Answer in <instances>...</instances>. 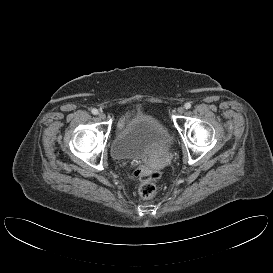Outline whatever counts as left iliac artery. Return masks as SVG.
Masks as SVG:
<instances>
[{"instance_id":"left-iliac-artery-1","label":"left iliac artery","mask_w":273,"mask_h":273,"mask_svg":"<svg viewBox=\"0 0 273 273\" xmlns=\"http://www.w3.org/2000/svg\"><path fill=\"white\" fill-rule=\"evenodd\" d=\"M184 106H185L186 109H190V108H191V103H190V102H187V103H185Z\"/></svg>"}]
</instances>
